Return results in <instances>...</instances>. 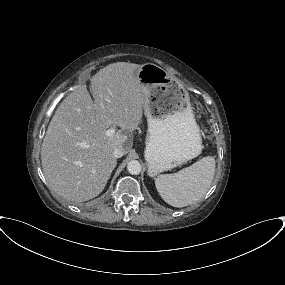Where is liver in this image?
Segmentation results:
<instances>
[{"instance_id":"liver-1","label":"liver","mask_w":285,"mask_h":285,"mask_svg":"<svg viewBox=\"0 0 285 285\" xmlns=\"http://www.w3.org/2000/svg\"><path fill=\"white\" fill-rule=\"evenodd\" d=\"M140 69L133 63L109 64L90 81L94 101L82 85L55 111L43 139L41 163L59 196L78 203L97 197L116 167L115 148L122 147L125 154L131 149L146 97ZM111 126L121 130L107 137Z\"/></svg>"}]
</instances>
